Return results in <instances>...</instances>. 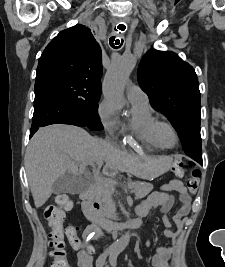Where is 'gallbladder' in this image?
I'll return each instance as SVG.
<instances>
[{"label":"gallbladder","instance_id":"1","mask_svg":"<svg viewBox=\"0 0 225 267\" xmlns=\"http://www.w3.org/2000/svg\"><path fill=\"white\" fill-rule=\"evenodd\" d=\"M52 189L55 194L78 193L81 190V185L79 180L66 173L55 180Z\"/></svg>","mask_w":225,"mask_h":267}]
</instances>
